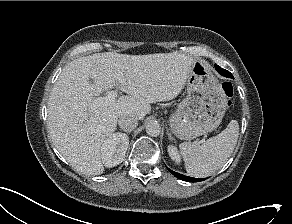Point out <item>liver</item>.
Listing matches in <instances>:
<instances>
[{
  "label": "liver",
  "mask_w": 292,
  "mask_h": 224,
  "mask_svg": "<svg viewBox=\"0 0 292 224\" xmlns=\"http://www.w3.org/2000/svg\"><path fill=\"white\" fill-rule=\"evenodd\" d=\"M192 63V58L178 52H105L75 59L63 68L48 101V128L55 147L76 170L102 174V147L115 132L118 118L143 119L151 111V103L175 98ZM119 72L124 83L118 80ZM114 86L127 95L91 107L93 96Z\"/></svg>",
  "instance_id": "1"
}]
</instances>
